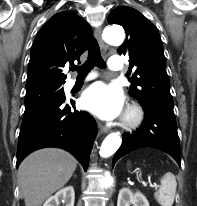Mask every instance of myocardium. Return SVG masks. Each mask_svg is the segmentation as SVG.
Listing matches in <instances>:
<instances>
[{
	"label": "myocardium",
	"mask_w": 197,
	"mask_h": 206,
	"mask_svg": "<svg viewBox=\"0 0 197 206\" xmlns=\"http://www.w3.org/2000/svg\"><path fill=\"white\" fill-rule=\"evenodd\" d=\"M143 121V111L137 105H131L128 107L124 117L123 126L126 129H135Z\"/></svg>",
	"instance_id": "obj_1"
}]
</instances>
